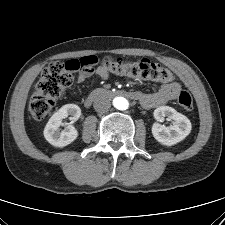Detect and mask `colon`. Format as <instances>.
<instances>
[{
  "mask_svg": "<svg viewBox=\"0 0 225 225\" xmlns=\"http://www.w3.org/2000/svg\"><path fill=\"white\" fill-rule=\"evenodd\" d=\"M99 62L95 56H85L68 62L53 61L41 73L29 101V111L36 120H41L53 109L55 100L73 81L72 73L93 68ZM102 67L109 73L137 77L145 80L169 83L174 80L173 73L166 67L151 62H129L122 58L106 56ZM178 104L185 111L193 109V100L186 91L178 94Z\"/></svg>",
  "mask_w": 225,
  "mask_h": 225,
  "instance_id": "5ec220e1",
  "label": "colon"
}]
</instances>
